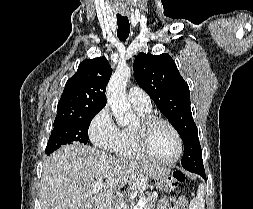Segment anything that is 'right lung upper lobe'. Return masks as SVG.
<instances>
[{
	"label": "right lung upper lobe",
	"mask_w": 253,
	"mask_h": 209,
	"mask_svg": "<svg viewBox=\"0 0 253 209\" xmlns=\"http://www.w3.org/2000/svg\"><path fill=\"white\" fill-rule=\"evenodd\" d=\"M112 69L105 57L85 59L66 82L55 120L81 116L106 105V85Z\"/></svg>",
	"instance_id": "right-lung-upper-lobe-1"
}]
</instances>
